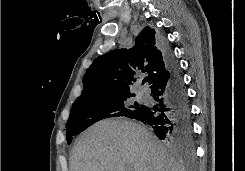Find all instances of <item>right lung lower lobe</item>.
<instances>
[{
	"label": "right lung lower lobe",
	"instance_id": "obj_1",
	"mask_svg": "<svg viewBox=\"0 0 245 171\" xmlns=\"http://www.w3.org/2000/svg\"><path fill=\"white\" fill-rule=\"evenodd\" d=\"M163 51L168 73L150 86L155 105H142L132 118L150 125L159 139L176 147L193 145L191 111L178 61L165 40Z\"/></svg>",
	"mask_w": 245,
	"mask_h": 171
}]
</instances>
